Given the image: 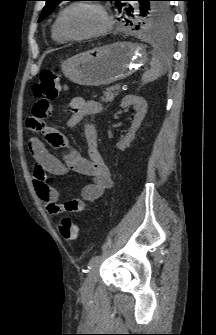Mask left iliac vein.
<instances>
[{
  "mask_svg": "<svg viewBox=\"0 0 216 335\" xmlns=\"http://www.w3.org/2000/svg\"><path fill=\"white\" fill-rule=\"evenodd\" d=\"M98 274H99V263H96L92 267L91 271L88 274L87 279L85 280L81 288V294L83 296H88L93 293Z\"/></svg>",
  "mask_w": 216,
  "mask_h": 335,
  "instance_id": "1",
  "label": "left iliac vein"
}]
</instances>
